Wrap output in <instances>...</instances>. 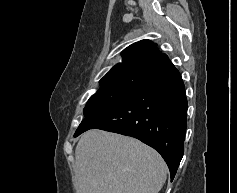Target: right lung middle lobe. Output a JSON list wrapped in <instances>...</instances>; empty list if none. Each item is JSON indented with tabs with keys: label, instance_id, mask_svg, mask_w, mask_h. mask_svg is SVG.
<instances>
[{
	"label": "right lung middle lobe",
	"instance_id": "obj_1",
	"mask_svg": "<svg viewBox=\"0 0 237 193\" xmlns=\"http://www.w3.org/2000/svg\"><path fill=\"white\" fill-rule=\"evenodd\" d=\"M144 73V70L130 71L101 79L100 89L90 97L84 108V116H95L123 102L140 85Z\"/></svg>",
	"mask_w": 237,
	"mask_h": 193
}]
</instances>
